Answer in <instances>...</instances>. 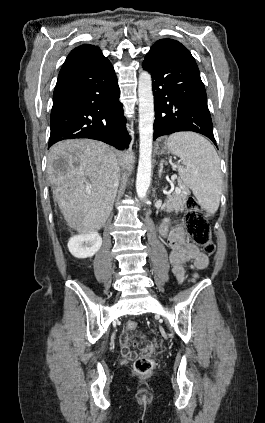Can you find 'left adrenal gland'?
<instances>
[{"instance_id":"1","label":"left adrenal gland","mask_w":265,"mask_h":423,"mask_svg":"<svg viewBox=\"0 0 265 423\" xmlns=\"http://www.w3.org/2000/svg\"><path fill=\"white\" fill-rule=\"evenodd\" d=\"M165 161L161 160L160 161V170H159V175H161L162 169H163V165H164Z\"/></svg>"}]
</instances>
